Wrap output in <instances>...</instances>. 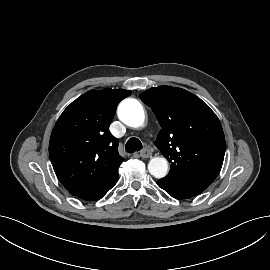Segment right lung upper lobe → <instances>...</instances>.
Masks as SVG:
<instances>
[{"label":"right lung upper lobe","instance_id":"cb5924a9","mask_svg":"<svg viewBox=\"0 0 270 270\" xmlns=\"http://www.w3.org/2000/svg\"><path fill=\"white\" fill-rule=\"evenodd\" d=\"M130 94L124 89L90 90L58 118L49 155L57 178L72 195L97 190L118 177L124 159L108 128L118 103Z\"/></svg>","mask_w":270,"mask_h":270}]
</instances>
